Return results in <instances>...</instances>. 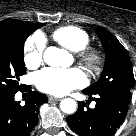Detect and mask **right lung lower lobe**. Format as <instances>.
<instances>
[{
    "label": "right lung lower lobe",
    "mask_w": 136,
    "mask_h": 136,
    "mask_svg": "<svg viewBox=\"0 0 136 136\" xmlns=\"http://www.w3.org/2000/svg\"><path fill=\"white\" fill-rule=\"evenodd\" d=\"M31 86H23L20 91H28L25 104L14 100V93L0 94V136H27L38 123V111L47 96L33 92Z\"/></svg>",
    "instance_id": "98d812e1"
}]
</instances>
